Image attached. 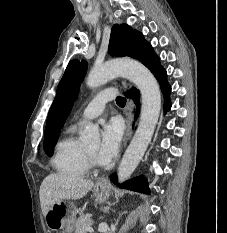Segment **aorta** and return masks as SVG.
<instances>
[{"label":"aorta","instance_id":"obj_1","mask_svg":"<svg viewBox=\"0 0 227 233\" xmlns=\"http://www.w3.org/2000/svg\"><path fill=\"white\" fill-rule=\"evenodd\" d=\"M126 77L141 93V112L137 130L118 167V182L126 181L134 172L151 142L161 109V94L157 80L141 63L133 60H115L93 68L87 77V86L96 88L116 77ZM86 145L99 141V129L87 123L80 134Z\"/></svg>","mask_w":227,"mask_h":233}]
</instances>
